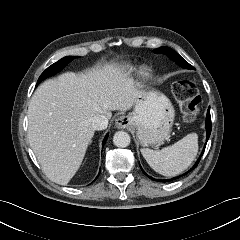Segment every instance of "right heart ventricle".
Wrapping results in <instances>:
<instances>
[{"label": "right heart ventricle", "mask_w": 240, "mask_h": 240, "mask_svg": "<svg viewBox=\"0 0 240 240\" xmlns=\"http://www.w3.org/2000/svg\"><path fill=\"white\" fill-rule=\"evenodd\" d=\"M131 67L130 66H125L123 69L124 70H129Z\"/></svg>", "instance_id": "1"}]
</instances>
